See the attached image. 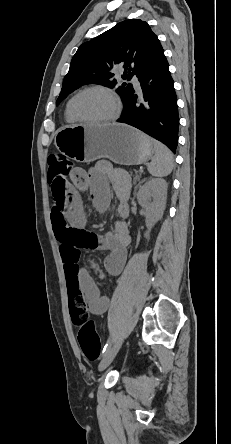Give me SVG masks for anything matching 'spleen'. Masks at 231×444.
Wrapping results in <instances>:
<instances>
[{
  "instance_id": "1",
  "label": "spleen",
  "mask_w": 231,
  "mask_h": 444,
  "mask_svg": "<svg viewBox=\"0 0 231 444\" xmlns=\"http://www.w3.org/2000/svg\"><path fill=\"white\" fill-rule=\"evenodd\" d=\"M152 144L154 156L148 165V171L155 177L168 176L174 167L173 154L167 146L157 140H152Z\"/></svg>"
}]
</instances>
